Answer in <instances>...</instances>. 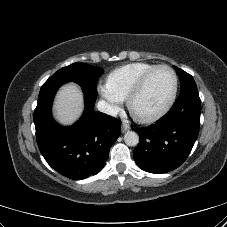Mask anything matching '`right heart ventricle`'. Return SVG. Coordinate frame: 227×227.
I'll return each mask as SVG.
<instances>
[{
    "label": "right heart ventricle",
    "instance_id": "e07e8e85",
    "mask_svg": "<svg viewBox=\"0 0 227 227\" xmlns=\"http://www.w3.org/2000/svg\"><path fill=\"white\" fill-rule=\"evenodd\" d=\"M156 65L147 62L122 65L109 73L106 84L118 97L125 100L139 78Z\"/></svg>",
    "mask_w": 227,
    "mask_h": 227
}]
</instances>
